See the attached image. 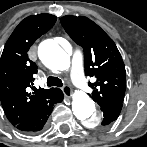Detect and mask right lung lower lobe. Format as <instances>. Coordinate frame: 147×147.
I'll use <instances>...</instances> for the list:
<instances>
[{"mask_svg":"<svg viewBox=\"0 0 147 147\" xmlns=\"http://www.w3.org/2000/svg\"><path fill=\"white\" fill-rule=\"evenodd\" d=\"M63 92L60 89H56L53 98L51 101L42 107L35 115L29 119L15 125V127L24 132H36L40 131L47 119L49 118L53 107L56 103L62 102Z\"/></svg>","mask_w":147,"mask_h":147,"instance_id":"98d812e1","label":"right lung lower lobe"}]
</instances>
